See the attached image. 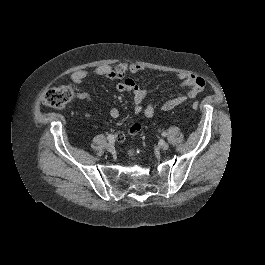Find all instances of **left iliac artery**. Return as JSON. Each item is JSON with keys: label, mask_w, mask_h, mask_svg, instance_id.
<instances>
[{"label": "left iliac artery", "mask_w": 265, "mask_h": 265, "mask_svg": "<svg viewBox=\"0 0 265 265\" xmlns=\"http://www.w3.org/2000/svg\"><path fill=\"white\" fill-rule=\"evenodd\" d=\"M162 136L166 137L167 136V133L166 132H163L162 133Z\"/></svg>", "instance_id": "1"}]
</instances>
